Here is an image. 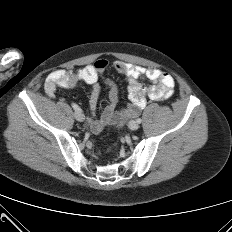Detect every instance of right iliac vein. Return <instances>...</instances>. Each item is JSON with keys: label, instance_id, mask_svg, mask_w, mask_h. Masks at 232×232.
I'll return each instance as SVG.
<instances>
[{"label": "right iliac vein", "instance_id": "right-iliac-vein-1", "mask_svg": "<svg viewBox=\"0 0 232 232\" xmlns=\"http://www.w3.org/2000/svg\"><path fill=\"white\" fill-rule=\"evenodd\" d=\"M74 117H75V119H76L77 121H79V122H82V121H84V119H85L84 114H83L82 112H80V111H75V112H74Z\"/></svg>", "mask_w": 232, "mask_h": 232}]
</instances>
